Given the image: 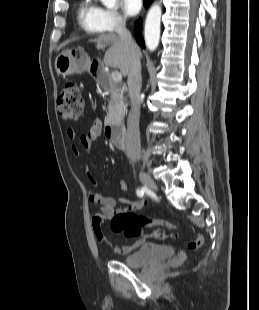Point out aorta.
<instances>
[{"label": "aorta", "instance_id": "1", "mask_svg": "<svg viewBox=\"0 0 259 310\" xmlns=\"http://www.w3.org/2000/svg\"><path fill=\"white\" fill-rule=\"evenodd\" d=\"M107 8H114L117 0H100ZM162 10L160 5L154 4L146 17L145 22V43L150 51H154L160 39V21Z\"/></svg>", "mask_w": 259, "mask_h": 310}]
</instances>
